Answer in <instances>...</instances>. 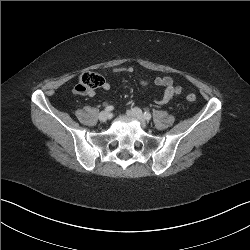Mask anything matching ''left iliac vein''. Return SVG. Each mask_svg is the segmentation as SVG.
<instances>
[{
  "label": "left iliac vein",
  "mask_w": 250,
  "mask_h": 250,
  "mask_svg": "<svg viewBox=\"0 0 250 250\" xmlns=\"http://www.w3.org/2000/svg\"><path fill=\"white\" fill-rule=\"evenodd\" d=\"M127 114L136 119L137 121H139L140 125L142 128L146 129L147 128V122L144 118V115L142 113V111L139 108H132L130 110L127 111Z\"/></svg>",
  "instance_id": "obj_1"
}]
</instances>
